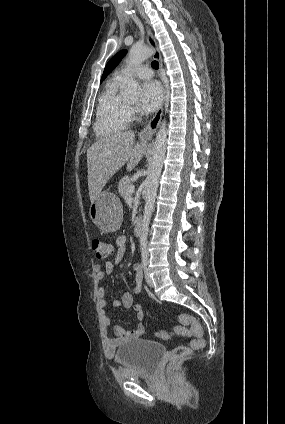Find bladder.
Wrapping results in <instances>:
<instances>
[{
    "label": "bladder",
    "mask_w": 285,
    "mask_h": 424,
    "mask_svg": "<svg viewBox=\"0 0 285 424\" xmlns=\"http://www.w3.org/2000/svg\"><path fill=\"white\" fill-rule=\"evenodd\" d=\"M165 354L164 345L147 339L124 342L115 351L116 360L130 377L151 374Z\"/></svg>",
    "instance_id": "bladder-1"
}]
</instances>
